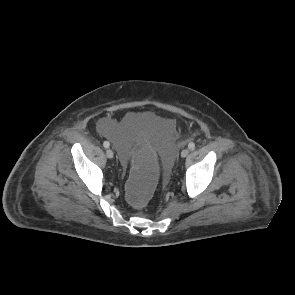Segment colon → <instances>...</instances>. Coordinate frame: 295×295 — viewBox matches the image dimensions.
I'll use <instances>...</instances> for the list:
<instances>
[{
    "instance_id": "1",
    "label": "colon",
    "mask_w": 295,
    "mask_h": 295,
    "mask_svg": "<svg viewBox=\"0 0 295 295\" xmlns=\"http://www.w3.org/2000/svg\"><path fill=\"white\" fill-rule=\"evenodd\" d=\"M133 172L125 183V200L137 210L148 208L157 189L158 162L155 147L148 140H138L131 147Z\"/></svg>"
}]
</instances>
